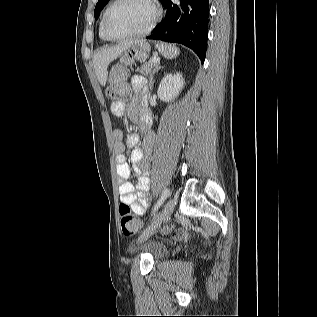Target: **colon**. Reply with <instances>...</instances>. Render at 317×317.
Masks as SVG:
<instances>
[{"mask_svg":"<svg viewBox=\"0 0 317 317\" xmlns=\"http://www.w3.org/2000/svg\"><path fill=\"white\" fill-rule=\"evenodd\" d=\"M129 93V85L127 81V70L121 65L112 67L106 88L107 96L119 101L126 97ZM121 230L125 235H132L141 228V222L132 214L131 208L125 203L119 206Z\"/></svg>","mask_w":317,"mask_h":317,"instance_id":"colon-1","label":"colon"}]
</instances>
